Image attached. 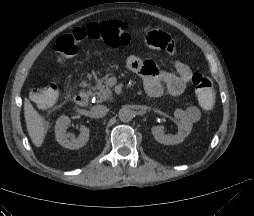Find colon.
I'll return each mask as SVG.
<instances>
[{"instance_id": "colon-1", "label": "colon", "mask_w": 254, "mask_h": 216, "mask_svg": "<svg viewBox=\"0 0 254 216\" xmlns=\"http://www.w3.org/2000/svg\"><path fill=\"white\" fill-rule=\"evenodd\" d=\"M130 39L128 25L125 23L118 21L90 23L61 36L56 41L54 50L58 59L62 61L76 55L87 40L102 41L111 47H119L128 44ZM191 82L200 106L204 110H211L215 104L211 79L206 74L196 71L191 75ZM57 98L58 90L55 85L37 88L32 93L34 102L43 108L52 107Z\"/></svg>"}]
</instances>
